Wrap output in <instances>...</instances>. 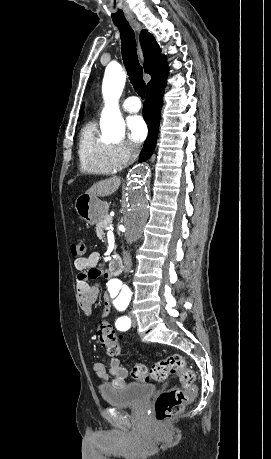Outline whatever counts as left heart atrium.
<instances>
[{
	"label": "left heart atrium",
	"mask_w": 271,
	"mask_h": 459,
	"mask_svg": "<svg viewBox=\"0 0 271 459\" xmlns=\"http://www.w3.org/2000/svg\"><path fill=\"white\" fill-rule=\"evenodd\" d=\"M128 135L134 144H140L147 135V126L141 116H133L128 120Z\"/></svg>",
	"instance_id": "1"
}]
</instances>
